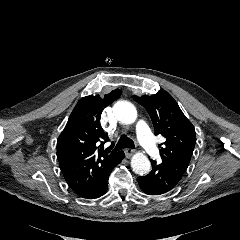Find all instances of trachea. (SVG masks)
I'll return each instance as SVG.
<instances>
[{
    "mask_svg": "<svg viewBox=\"0 0 240 240\" xmlns=\"http://www.w3.org/2000/svg\"><path fill=\"white\" fill-rule=\"evenodd\" d=\"M134 146V142L131 139L127 138L126 135H122L112 152H116L124 148H133Z\"/></svg>",
    "mask_w": 240,
    "mask_h": 240,
    "instance_id": "trachea-1",
    "label": "trachea"
}]
</instances>
